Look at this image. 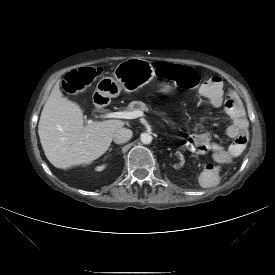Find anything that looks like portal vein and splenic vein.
Wrapping results in <instances>:
<instances>
[{"instance_id": "18ae733b", "label": "portal vein and splenic vein", "mask_w": 275, "mask_h": 275, "mask_svg": "<svg viewBox=\"0 0 275 275\" xmlns=\"http://www.w3.org/2000/svg\"><path fill=\"white\" fill-rule=\"evenodd\" d=\"M144 113L140 110L137 111H119V112H109L105 113L102 117L104 118H120V119H135L143 116ZM88 123H92V120H88Z\"/></svg>"}]
</instances>
